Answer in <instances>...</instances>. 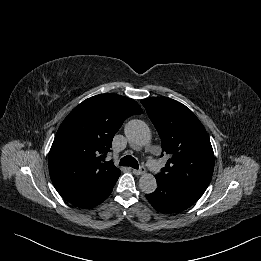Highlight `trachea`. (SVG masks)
Here are the masks:
<instances>
[{
  "mask_svg": "<svg viewBox=\"0 0 261 261\" xmlns=\"http://www.w3.org/2000/svg\"><path fill=\"white\" fill-rule=\"evenodd\" d=\"M119 165L120 166H130L134 169L139 168L138 161L134 157H132L131 155H127V156L123 157L120 160Z\"/></svg>",
  "mask_w": 261,
  "mask_h": 261,
  "instance_id": "obj_1",
  "label": "trachea"
}]
</instances>
